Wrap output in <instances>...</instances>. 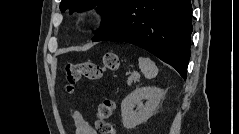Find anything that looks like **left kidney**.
<instances>
[{
	"label": "left kidney",
	"instance_id": "left-kidney-1",
	"mask_svg": "<svg viewBox=\"0 0 239 134\" xmlns=\"http://www.w3.org/2000/svg\"><path fill=\"white\" fill-rule=\"evenodd\" d=\"M164 94V90L157 87H142L127 95L121 103L123 126L132 129L146 122L154 114ZM143 100H146L145 104Z\"/></svg>",
	"mask_w": 239,
	"mask_h": 134
}]
</instances>
